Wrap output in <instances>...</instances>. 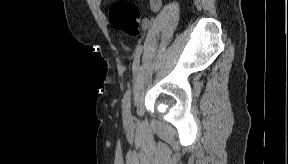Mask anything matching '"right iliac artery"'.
Wrapping results in <instances>:
<instances>
[{
	"label": "right iliac artery",
	"instance_id": "right-iliac-artery-1",
	"mask_svg": "<svg viewBox=\"0 0 288 164\" xmlns=\"http://www.w3.org/2000/svg\"><path fill=\"white\" fill-rule=\"evenodd\" d=\"M142 50H143V47L141 45L137 46L136 51H135L134 61H133V67H132L133 75H135L138 70ZM122 109H123L124 120L130 119V89H128L124 95V98L122 101Z\"/></svg>",
	"mask_w": 288,
	"mask_h": 164
}]
</instances>
